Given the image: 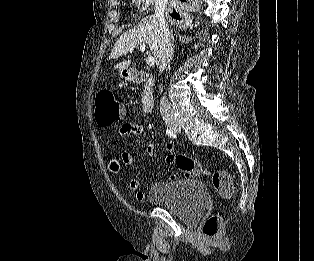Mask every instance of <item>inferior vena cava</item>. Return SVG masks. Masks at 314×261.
<instances>
[{
	"instance_id": "602c4592",
	"label": "inferior vena cava",
	"mask_w": 314,
	"mask_h": 261,
	"mask_svg": "<svg viewBox=\"0 0 314 261\" xmlns=\"http://www.w3.org/2000/svg\"><path fill=\"white\" fill-rule=\"evenodd\" d=\"M168 0H156L155 3V16L159 21L160 29L162 30L165 38V46L160 58L159 71L163 72L173 57L174 44L173 36L166 23L164 13L166 11ZM160 113L163 119H173V112L165 96L160 99Z\"/></svg>"
}]
</instances>
